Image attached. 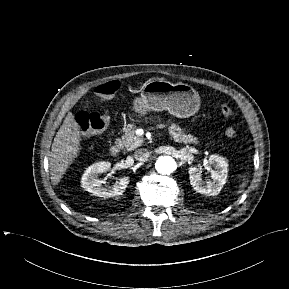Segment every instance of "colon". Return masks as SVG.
Wrapping results in <instances>:
<instances>
[{"label":"colon","mask_w":289,"mask_h":289,"mask_svg":"<svg viewBox=\"0 0 289 289\" xmlns=\"http://www.w3.org/2000/svg\"><path fill=\"white\" fill-rule=\"evenodd\" d=\"M119 88L120 83L117 80H112L98 85L94 92L95 95L101 99H110L117 93ZM220 111L225 118H230L233 114L232 109L226 104L221 106ZM75 121L83 134L96 133L106 129L109 123V117L106 114L81 111L76 114ZM225 134L229 138H235L237 136L236 130L232 127H228Z\"/></svg>","instance_id":"1"}]
</instances>
